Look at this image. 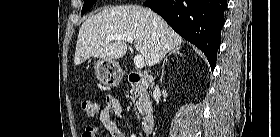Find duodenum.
I'll return each instance as SVG.
<instances>
[{
  "label": "duodenum",
  "mask_w": 280,
  "mask_h": 137,
  "mask_svg": "<svg viewBox=\"0 0 280 137\" xmlns=\"http://www.w3.org/2000/svg\"><path fill=\"white\" fill-rule=\"evenodd\" d=\"M126 80L131 85H137L142 80L147 81L148 79H147V77L142 76L139 72L133 71L127 75ZM154 125H155L154 117L148 116L143 120L142 129L145 132L150 133L153 131Z\"/></svg>",
  "instance_id": "duodenum-1"
}]
</instances>
